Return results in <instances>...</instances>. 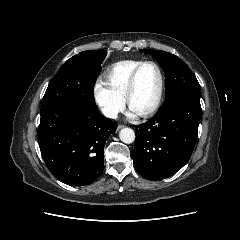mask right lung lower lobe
I'll list each match as a JSON object with an SVG mask.
<instances>
[{"label":"right lung lower lobe","instance_id":"obj_1","mask_svg":"<svg viewBox=\"0 0 240 240\" xmlns=\"http://www.w3.org/2000/svg\"><path fill=\"white\" fill-rule=\"evenodd\" d=\"M117 124L98 108L63 103L41 111L38 143L51 173L65 184L93 183L104 169V146Z\"/></svg>","mask_w":240,"mask_h":240}]
</instances>
